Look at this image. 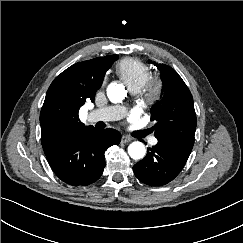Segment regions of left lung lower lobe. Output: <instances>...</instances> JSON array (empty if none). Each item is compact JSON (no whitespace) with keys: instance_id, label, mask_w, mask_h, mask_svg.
Returning <instances> with one entry per match:
<instances>
[{"instance_id":"0a47b994","label":"left lung lower lobe","mask_w":243,"mask_h":243,"mask_svg":"<svg viewBox=\"0 0 243 243\" xmlns=\"http://www.w3.org/2000/svg\"><path fill=\"white\" fill-rule=\"evenodd\" d=\"M190 154L167 143L158 142L133 166L135 176L144 184L162 186L172 181L183 169Z\"/></svg>"}]
</instances>
